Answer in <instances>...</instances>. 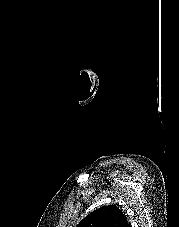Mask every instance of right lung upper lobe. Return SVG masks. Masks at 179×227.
<instances>
[{"instance_id":"right-lung-upper-lobe-1","label":"right lung upper lobe","mask_w":179,"mask_h":227,"mask_svg":"<svg viewBox=\"0 0 179 227\" xmlns=\"http://www.w3.org/2000/svg\"><path fill=\"white\" fill-rule=\"evenodd\" d=\"M76 227H130L125 214L115 205L94 210Z\"/></svg>"}]
</instances>
